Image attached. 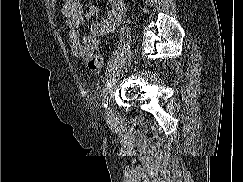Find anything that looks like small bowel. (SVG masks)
Wrapping results in <instances>:
<instances>
[{"mask_svg":"<svg viewBox=\"0 0 243 182\" xmlns=\"http://www.w3.org/2000/svg\"><path fill=\"white\" fill-rule=\"evenodd\" d=\"M107 1L111 5V9L105 18L90 22L89 35L82 37L80 28L88 20L99 15V8L96 5H91L85 10L80 0H64L62 15L66 19L70 47L75 57L89 60L99 47V39L119 26L125 11L124 0Z\"/></svg>","mask_w":243,"mask_h":182,"instance_id":"obj_1","label":"small bowel"}]
</instances>
